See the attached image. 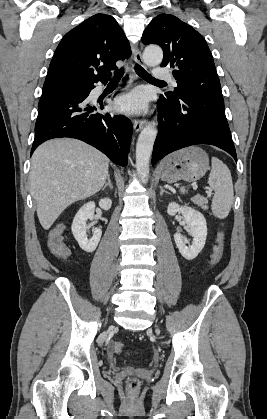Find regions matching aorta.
<instances>
[{
    "instance_id": "1",
    "label": "aorta",
    "mask_w": 267,
    "mask_h": 419,
    "mask_svg": "<svg viewBox=\"0 0 267 419\" xmlns=\"http://www.w3.org/2000/svg\"><path fill=\"white\" fill-rule=\"evenodd\" d=\"M162 59L163 52L157 46H148L143 53V60L148 66H157L162 62ZM156 135L157 128L155 125L148 124L142 129L137 140L136 168L143 183H147L149 178V163Z\"/></svg>"
}]
</instances>
